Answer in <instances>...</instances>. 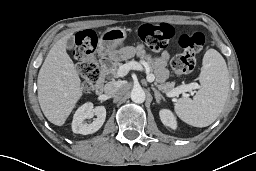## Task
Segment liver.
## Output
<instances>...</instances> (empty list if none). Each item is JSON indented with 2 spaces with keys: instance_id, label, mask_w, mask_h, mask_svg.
I'll return each mask as SVG.
<instances>
[{
  "instance_id": "1",
  "label": "liver",
  "mask_w": 256,
  "mask_h": 171,
  "mask_svg": "<svg viewBox=\"0 0 256 171\" xmlns=\"http://www.w3.org/2000/svg\"><path fill=\"white\" fill-rule=\"evenodd\" d=\"M59 39L50 49L38 74V101L45 117L62 126L83 95L81 80L66 52V41Z\"/></svg>"
}]
</instances>
